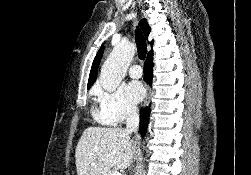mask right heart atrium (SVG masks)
Listing matches in <instances>:
<instances>
[{
    "label": "right heart atrium",
    "mask_w": 251,
    "mask_h": 175,
    "mask_svg": "<svg viewBox=\"0 0 251 175\" xmlns=\"http://www.w3.org/2000/svg\"><path fill=\"white\" fill-rule=\"evenodd\" d=\"M95 100L99 105V113L110 124H120L133 119L138 114V108L125 96L121 88L105 90L97 87Z\"/></svg>",
    "instance_id": "d8ad5b80"
}]
</instances>
